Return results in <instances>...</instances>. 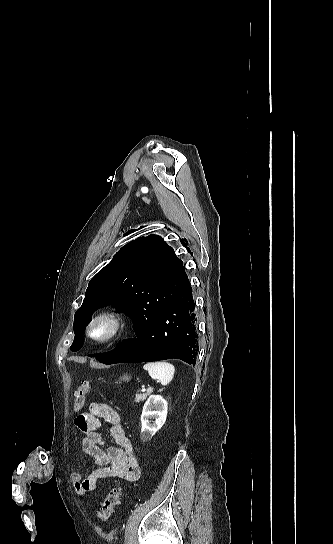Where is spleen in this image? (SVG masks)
Listing matches in <instances>:
<instances>
[{"mask_svg":"<svg viewBox=\"0 0 333 544\" xmlns=\"http://www.w3.org/2000/svg\"><path fill=\"white\" fill-rule=\"evenodd\" d=\"M152 379L158 380L163 386H166L173 379L175 368L172 364L165 361L148 362L143 366Z\"/></svg>","mask_w":333,"mask_h":544,"instance_id":"1","label":"spleen"}]
</instances>
